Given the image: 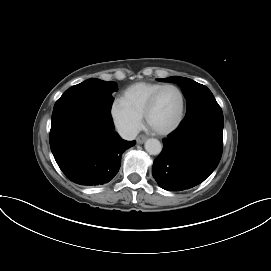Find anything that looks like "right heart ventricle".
<instances>
[{"instance_id": "obj_1", "label": "right heart ventricle", "mask_w": 271, "mask_h": 271, "mask_svg": "<svg viewBox=\"0 0 271 271\" xmlns=\"http://www.w3.org/2000/svg\"><path fill=\"white\" fill-rule=\"evenodd\" d=\"M162 86L163 84L154 82L134 83L122 92L120 99L130 110L142 116L147 101Z\"/></svg>"}]
</instances>
